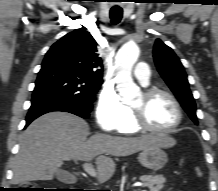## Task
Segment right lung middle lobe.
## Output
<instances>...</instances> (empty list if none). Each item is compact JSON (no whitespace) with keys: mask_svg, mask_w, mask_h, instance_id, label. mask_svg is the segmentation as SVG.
Instances as JSON below:
<instances>
[{"mask_svg":"<svg viewBox=\"0 0 218 191\" xmlns=\"http://www.w3.org/2000/svg\"><path fill=\"white\" fill-rule=\"evenodd\" d=\"M101 83L93 81L62 64L43 61L32 99L42 95L59 96L89 107Z\"/></svg>","mask_w":218,"mask_h":191,"instance_id":"right-lung-middle-lobe-1","label":"right lung middle lobe"}]
</instances>
